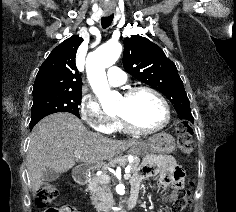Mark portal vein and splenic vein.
I'll return each instance as SVG.
<instances>
[{
  "label": "portal vein and splenic vein",
  "instance_id": "portal-vein-and-splenic-vein-1",
  "mask_svg": "<svg viewBox=\"0 0 236 212\" xmlns=\"http://www.w3.org/2000/svg\"><path fill=\"white\" fill-rule=\"evenodd\" d=\"M74 154H75L77 157H80V156H81V152H78V151H76ZM129 171H130L129 169H125V174H124V178H125V179H129V177H130ZM101 178H102V180H104V181H109V180H110L109 175H102Z\"/></svg>",
  "mask_w": 236,
  "mask_h": 212
}]
</instances>
